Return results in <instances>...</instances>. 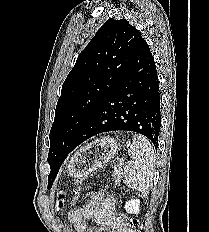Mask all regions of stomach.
Masks as SVG:
<instances>
[{
    "instance_id": "1",
    "label": "stomach",
    "mask_w": 209,
    "mask_h": 232,
    "mask_svg": "<svg viewBox=\"0 0 209 232\" xmlns=\"http://www.w3.org/2000/svg\"><path fill=\"white\" fill-rule=\"evenodd\" d=\"M120 150L116 139L103 137L78 150L70 159L67 171L74 179H85L97 169L104 167Z\"/></svg>"
}]
</instances>
